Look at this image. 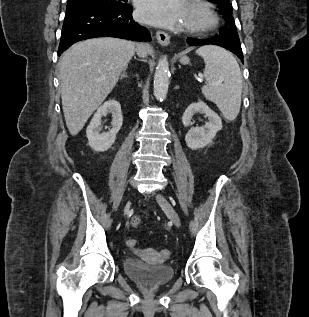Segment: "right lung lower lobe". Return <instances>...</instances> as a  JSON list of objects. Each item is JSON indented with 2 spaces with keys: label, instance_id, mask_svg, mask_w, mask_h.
I'll list each match as a JSON object with an SVG mask.
<instances>
[{
  "label": "right lung lower lobe",
  "instance_id": "98d812e1",
  "mask_svg": "<svg viewBox=\"0 0 309 317\" xmlns=\"http://www.w3.org/2000/svg\"><path fill=\"white\" fill-rule=\"evenodd\" d=\"M130 5L117 9L83 2H68L58 55L80 40L118 37L151 41L150 32L133 21Z\"/></svg>",
  "mask_w": 309,
  "mask_h": 317
}]
</instances>
